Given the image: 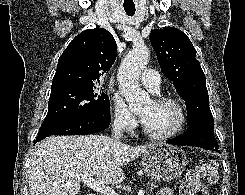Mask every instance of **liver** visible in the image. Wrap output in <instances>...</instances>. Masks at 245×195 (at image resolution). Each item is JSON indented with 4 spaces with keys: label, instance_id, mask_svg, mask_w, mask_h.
Returning <instances> with one entry per match:
<instances>
[{
    "label": "liver",
    "instance_id": "liver-1",
    "mask_svg": "<svg viewBox=\"0 0 245 195\" xmlns=\"http://www.w3.org/2000/svg\"><path fill=\"white\" fill-rule=\"evenodd\" d=\"M157 145L129 146L104 135L50 136L33 152L30 195H77L76 174L104 185L120 184L125 180L122 167Z\"/></svg>",
    "mask_w": 245,
    "mask_h": 195
}]
</instances>
